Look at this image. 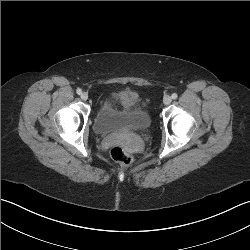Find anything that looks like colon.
<instances>
[{"instance_id":"obj_1","label":"colon","mask_w":250,"mask_h":250,"mask_svg":"<svg viewBox=\"0 0 250 250\" xmlns=\"http://www.w3.org/2000/svg\"><path fill=\"white\" fill-rule=\"evenodd\" d=\"M109 154L114 161L123 167H129L133 164V157L119 144L111 146Z\"/></svg>"}]
</instances>
